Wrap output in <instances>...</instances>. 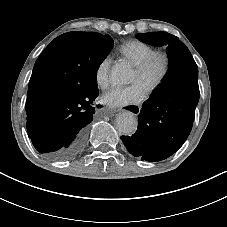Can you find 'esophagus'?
<instances>
[{
	"instance_id": "esophagus-1",
	"label": "esophagus",
	"mask_w": 227,
	"mask_h": 227,
	"mask_svg": "<svg viewBox=\"0 0 227 227\" xmlns=\"http://www.w3.org/2000/svg\"><path fill=\"white\" fill-rule=\"evenodd\" d=\"M141 106L132 105L130 103H124L122 107H120V112H130L133 115H138L140 113Z\"/></svg>"
}]
</instances>
